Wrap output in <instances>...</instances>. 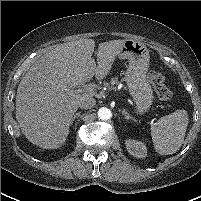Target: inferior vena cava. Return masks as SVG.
Listing matches in <instances>:
<instances>
[{
	"instance_id": "inferior-vena-cava-1",
	"label": "inferior vena cava",
	"mask_w": 201,
	"mask_h": 201,
	"mask_svg": "<svg viewBox=\"0 0 201 201\" xmlns=\"http://www.w3.org/2000/svg\"><path fill=\"white\" fill-rule=\"evenodd\" d=\"M95 104L96 100L93 97H82L78 102V106L82 109L92 108Z\"/></svg>"
}]
</instances>
